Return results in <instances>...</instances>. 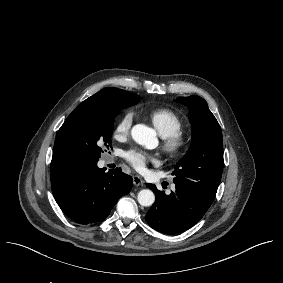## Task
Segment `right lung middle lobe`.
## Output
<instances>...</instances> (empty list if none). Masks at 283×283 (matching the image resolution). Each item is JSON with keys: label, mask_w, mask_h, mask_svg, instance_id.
I'll return each mask as SVG.
<instances>
[{"label": "right lung middle lobe", "mask_w": 283, "mask_h": 283, "mask_svg": "<svg viewBox=\"0 0 283 283\" xmlns=\"http://www.w3.org/2000/svg\"><path fill=\"white\" fill-rule=\"evenodd\" d=\"M139 99L137 95L121 97L70 114L60 130L63 148L72 162L98 160L102 146H111L115 117L121 109L137 104Z\"/></svg>", "instance_id": "obj_1"}]
</instances>
